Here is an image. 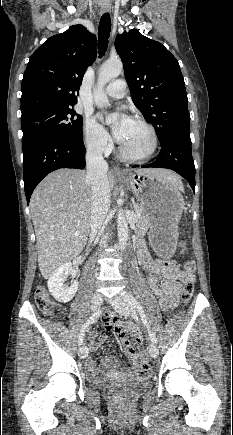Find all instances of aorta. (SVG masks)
<instances>
[{
  "instance_id": "1",
  "label": "aorta",
  "mask_w": 233,
  "mask_h": 435,
  "mask_svg": "<svg viewBox=\"0 0 233 435\" xmlns=\"http://www.w3.org/2000/svg\"><path fill=\"white\" fill-rule=\"evenodd\" d=\"M123 70L122 61L110 60L104 63L98 74L97 87L94 90V101L99 108H103L108 103V98L104 92L105 85L113 78L118 77ZM118 118L117 114H112L106 117V123H114ZM117 229H118V242L121 250L127 246L129 229L126 217L123 210H119L117 214Z\"/></svg>"
}]
</instances>
